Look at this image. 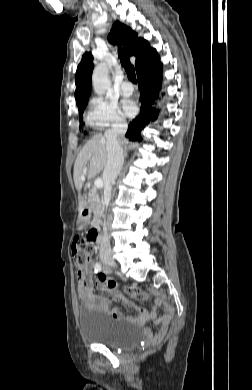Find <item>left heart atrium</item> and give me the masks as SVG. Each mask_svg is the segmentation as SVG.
I'll list each match as a JSON object with an SVG mask.
<instances>
[{
  "label": "left heart atrium",
  "mask_w": 252,
  "mask_h": 390,
  "mask_svg": "<svg viewBox=\"0 0 252 390\" xmlns=\"http://www.w3.org/2000/svg\"><path fill=\"white\" fill-rule=\"evenodd\" d=\"M123 109L128 116H133L137 110L135 103L130 100L123 102Z\"/></svg>",
  "instance_id": "left-heart-atrium-1"
}]
</instances>
